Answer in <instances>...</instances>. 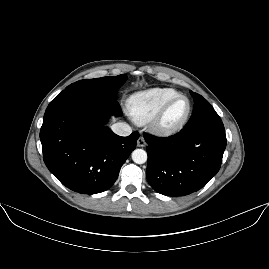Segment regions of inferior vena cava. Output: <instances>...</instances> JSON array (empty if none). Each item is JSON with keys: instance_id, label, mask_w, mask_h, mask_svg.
I'll return each instance as SVG.
<instances>
[{"instance_id": "obj_1", "label": "inferior vena cava", "mask_w": 269, "mask_h": 269, "mask_svg": "<svg viewBox=\"0 0 269 269\" xmlns=\"http://www.w3.org/2000/svg\"><path fill=\"white\" fill-rule=\"evenodd\" d=\"M111 129L119 136H129L132 133L131 127L126 123H115L111 126Z\"/></svg>"}]
</instances>
